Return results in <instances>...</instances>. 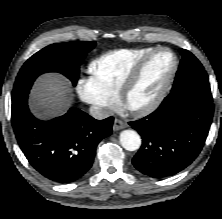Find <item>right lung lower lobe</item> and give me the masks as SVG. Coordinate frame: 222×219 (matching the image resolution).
<instances>
[{
    "instance_id": "98d812e1",
    "label": "right lung lower lobe",
    "mask_w": 222,
    "mask_h": 219,
    "mask_svg": "<svg viewBox=\"0 0 222 219\" xmlns=\"http://www.w3.org/2000/svg\"><path fill=\"white\" fill-rule=\"evenodd\" d=\"M28 96L12 101V125L29 163L44 177L70 183L92 166L96 146L112 133L113 117L96 120L77 109L50 121L35 118Z\"/></svg>"
}]
</instances>
